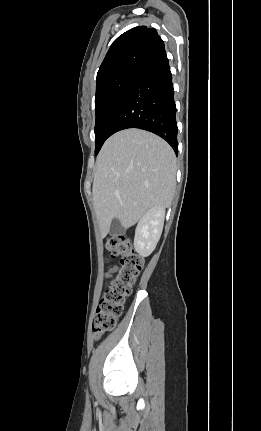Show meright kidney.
<instances>
[{
	"label": "right kidney",
	"mask_w": 261,
	"mask_h": 431,
	"mask_svg": "<svg viewBox=\"0 0 261 431\" xmlns=\"http://www.w3.org/2000/svg\"><path fill=\"white\" fill-rule=\"evenodd\" d=\"M165 219V209L154 207L148 210L140 219L134 237L136 252L149 256L155 249L162 234Z\"/></svg>",
	"instance_id": "obj_1"
}]
</instances>
